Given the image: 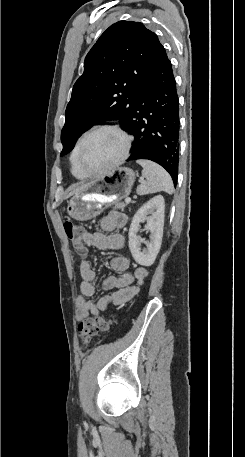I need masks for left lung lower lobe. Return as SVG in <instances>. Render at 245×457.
<instances>
[{"label":"left lung lower lobe","mask_w":245,"mask_h":457,"mask_svg":"<svg viewBox=\"0 0 245 457\" xmlns=\"http://www.w3.org/2000/svg\"><path fill=\"white\" fill-rule=\"evenodd\" d=\"M143 96L129 122L121 127L135 137L130 160L148 159L164 167L177 184L179 164V99L172 65L160 45L142 87Z\"/></svg>","instance_id":"1"}]
</instances>
